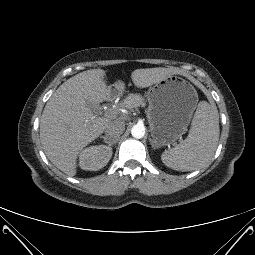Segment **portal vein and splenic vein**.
I'll use <instances>...</instances> for the list:
<instances>
[{
  "mask_svg": "<svg viewBox=\"0 0 255 255\" xmlns=\"http://www.w3.org/2000/svg\"><path fill=\"white\" fill-rule=\"evenodd\" d=\"M115 114V111H107L105 113L106 116H110V115H114Z\"/></svg>",
  "mask_w": 255,
  "mask_h": 255,
  "instance_id": "portal-vein-and-splenic-vein-1",
  "label": "portal vein and splenic vein"
}]
</instances>
